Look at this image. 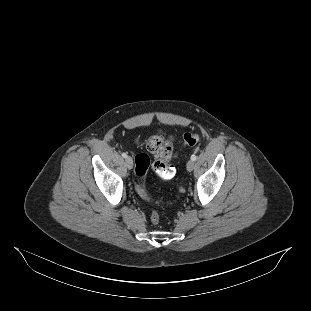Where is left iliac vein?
Masks as SVG:
<instances>
[{"mask_svg": "<svg viewBox=\"0 0 311 311\" xmlns=\"http://www.w3.org/2000/svg\"><path fill=\"white\" fill-rule=\"evenodd\" d=\"M195 163L193 160L187 162L186 168L188 171H192L194 169Z\"/></svg>", "mask_w": 311, "mask_h": 311, "instance_id": "4c4485c4", "label": "left iliac vein"}]
</instances>
